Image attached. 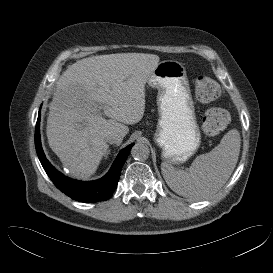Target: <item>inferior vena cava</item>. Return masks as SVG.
<instances>
[{"instance_id":"602c4592","label":"inferior vena cava","mask_w":273,"mask_h":273,"mask_svg":"<svg viewBox=\"0 0 273 273\" xmlns=\"http://www.w3.org/2000/svg\"><path fill=\"white\" fill-rule=\"evenodd\" d=\"M107 142L110 144H120L122 142V139L117 134H112L107 137Z\"/></svg>"}]
</instances>
